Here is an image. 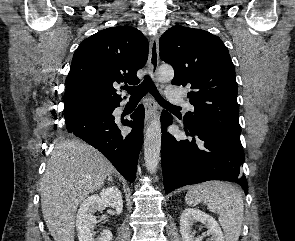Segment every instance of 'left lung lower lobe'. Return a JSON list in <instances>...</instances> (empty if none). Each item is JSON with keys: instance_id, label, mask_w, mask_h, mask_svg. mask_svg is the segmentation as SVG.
Returning <instances> with one entry per match:
<instances>
[{"instance_id": "0a47b994", "label": "left lung lower lobe", "mask_w": 295, "mask_h": 241, "mask_svg": "<svg viewBox=\"0 0 295 241\" xmlns=\"http://www.w3.org/2000/svg\"><path fill=\"white\" fill-rule=\"evenodd\" d=\"M172 115H161V160L165 193L208 180L239 183L248 192L246 177L240 168L245 156L240 136L204 125H184L187 140H176L167 132Z\"/></svg>"}]
</instances>
